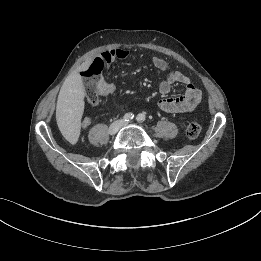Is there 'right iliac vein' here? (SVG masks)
Instances as JSON below:
<instances>
[{
	"label": "right iliac vein",
	"instance_id": "1",
	"mask_svg": "<svg viewBox=\"0 0 261 261\" xmlns=\"http://www.w3.org/2000/svg\"><path fill=\"white\" fill-rule=\"evenodd\" d=\"M123 123L124 122L122 120H118V121L113 122L109 126L108 133L110 135H115L118 132V130L122 127Z\"/></svg>",
	"mask_w": 261,
	"mask_h": 261
}]
</instances>
